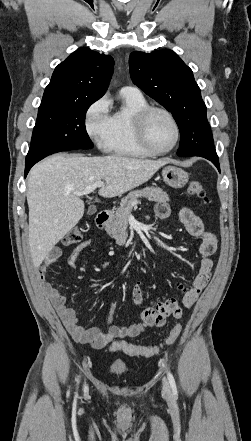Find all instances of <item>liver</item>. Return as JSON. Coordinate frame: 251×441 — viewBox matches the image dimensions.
<instances>
[{
  "instance_id": "1",
  "label": "liver",
  "mask_w": 251,
  "mask_h": 441,
  "mask_svg": "<svg viewBox=\"0 0 251 441\" xmlns=\"http://www.w3.org/2000/svg\"><path fill=\"white\" fill-rule=\"evenodd\" d=\"M167 159L149 160L120 155L85 157L53 155L37 163L27 181L29 245L32 261L39 267L53 247L79 222L84 202L74 192L98 181V193L115 197L148 181Z\"/></svg>"
}]
</instances>
